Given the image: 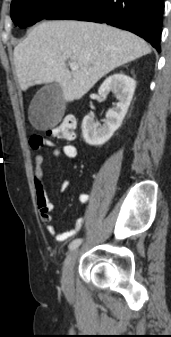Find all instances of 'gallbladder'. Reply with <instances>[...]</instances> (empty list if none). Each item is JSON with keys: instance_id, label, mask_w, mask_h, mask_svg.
Returning a JSON list of instances; mask_svg holds the SVG:
<instances>
[{"instance_id": "gallbladder-1", "label": "gallbladder", "mask_w": 171, "mask_h": 337, "mask_svg": "<svg viewBox=\"0 0 171 337\" xmlns=\"http://www.w3.org/2000/svg\"><path fill=\"white\" fill-rule=\"evenodd\" d=\"M65 110L61 87L51 83L41 88L34 96L30 109L31 124L41 130L57 125Z\"/></svg>"}]
</instances>
